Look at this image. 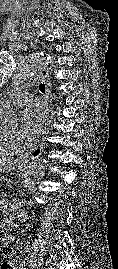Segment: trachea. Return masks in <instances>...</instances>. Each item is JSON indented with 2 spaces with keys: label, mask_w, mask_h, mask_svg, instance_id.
<instances>
[{
  "label": "trachea",
  "mask_w": 118,
  "mask_h": 269,
  "mask_svg": "<svg viewBox=\"0 0 118 269\" xmlns=\"http://www.w3.org/2000/svg\"><path fill=\"white\" fill-rule=\"evenodd\" d=\"M39 90L43 93H45V85L44 84H40L39 85Z\"/></svg>",
  "instance_id": "trachea-1"
}]
</instances>
